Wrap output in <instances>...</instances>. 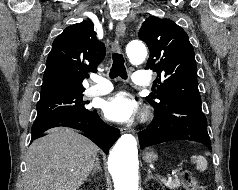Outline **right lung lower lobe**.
Returning a JSON list of instances; mask_svg holds the SVG:
<instances>
[{
	"instance_id": "right-lung-lower-lobe-1",
	"label": "right lung lower lobe",
	"mask_w": 238,
	"mask_h": 190,
	"mask_svg": "<svg viewBox=\"0 0 238 190\" xmlns=\"http://www.w3.org/2000/svg\"><path fill=\"white\" fill-rule=\"evenodd\" d=\"M58 126L71 127L83 131L86 137L102 148L105 153H108L110 147L120 136L119 129L104 123L98 116L97 111L93 110L36 119L32 126L31 140L41 137L42 133L49 128Z\"/></svg>"
}]
</instances>
